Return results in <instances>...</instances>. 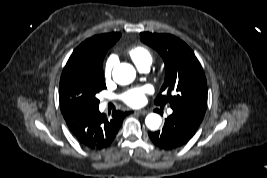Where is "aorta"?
Listing matches in <instances>:
<instances>
[{
  "label": "aorta",
  "mask_w": 267,
  "mask_h": 178,
  "mask_svg": "<svg viewBox=\"0 0 267 178\" xmlns=\"http://www.w3.org/2000/svg\"><path fill=\"white\" fill-rule=\"evenodd\" d=\"M136 71L134 67L128 63H120L113 69V79L120 85H127L134 81ZM162 119L156 113H150L145 118V124L150 130H157L161 125Z\"/></svg>",
  "instance_id": "aorta-1"
}]
</instances>
